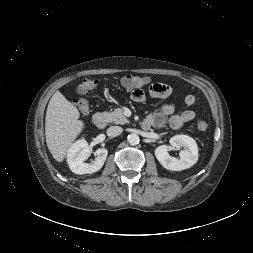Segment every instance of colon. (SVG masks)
Returning <instances> with one entry per match:
<instances>
[{"label": "colon", "instance_id": "obj_1", "mask_svg": "<svg viewBox=\"0 0 253 253\" xmlns=\"http://www.w3.org/2000/svg\"><path fill=\"white\" fill-rule=\"evenodd\" d=\"M150 82L148 77H142L136 74H128L122 77L121 84L127 89H137L147 85ZM99 84V80L93 77H85L79 84L77 91L80 95H85L93 90ZM75 105L81 114L89 112V103L84 98H79L75 101ZM198 130L204 131L208 128V121L205 117L198 118L195 122Z\"/></svg>", "mask_w": 253, "mask_h": 253}]
</instances>
